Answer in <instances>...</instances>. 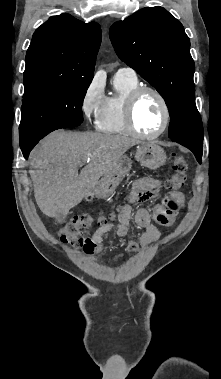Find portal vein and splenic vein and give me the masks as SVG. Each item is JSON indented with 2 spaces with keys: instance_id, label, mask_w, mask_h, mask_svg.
Returning a JSON list of instances; mask_svg holds the SVG:
<instances>
[{
  "instance_id": "obj_1",
  "label": "portal vein and splenic vein",
  "mask_w": 221,
  "mask_h": 379,
  "mask_svg": "<svg viewBox=\"0 0 221 379\" xmlns=\"http://www.w3.org/2000/svg\"><path fill=\"white\" fill-rule=\"evenodd\" d=\"M90 158H87L86 162H89Z\"/></svg>"
}]
</instances>
